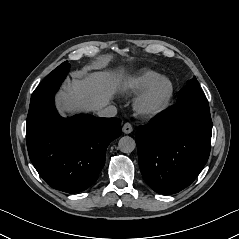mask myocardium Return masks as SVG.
<instances>
[{
    "instance_id": "myocardium-1",
    "label": "myocardium",
    "mask_w": 239,
    "mask_h": 239,
    "mask_svg": "<svg viewBox=\"0 0 239 239\" xmlns=\"http://www.w3.org/2000/svg\"><path fill=\"white\" fill-rule=\"evenodd\" d=\"M162 83L165 84L164 94L158 100H153L156 87ZM173 94L172 81L164 75H159L136 97L133 103L134 110L143 117H154L168 107Z\"/></svg>"
}]
</instances>
